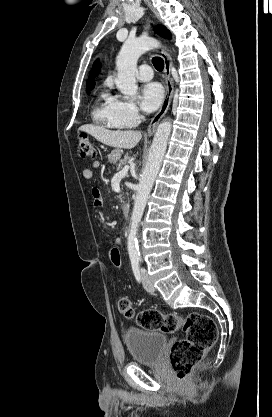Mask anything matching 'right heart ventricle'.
Instances as JSON below:
<instances>
[{
    "mask_svg": "<svg viewBox=\"0 0 272 417\" xmlns=\"http://www.w3.org/2000/svg\"><path fill=\"white\" fill-rule=\"evenodd\" d=\"M93 119L96 123L111 129H124L129 127L119 119L115 111V99L107 90H103L93 110Z\"/></svg>",
    "mask_w": 272,
    "mask_h": 417,
    "instance_id": "e07e8e85",
    "label": "right heart ventricle"
}]
</instances>
